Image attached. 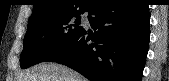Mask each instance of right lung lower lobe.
I'll return each instance as SVG.
<instances>
[{
    "mask_svg": "<svg viewBox=\"0 0 169 81\" xmlns=\"http://www.w3.org/2000/svg\"><path fill=\"white\" fill-rule=\"evenodd\" d=\"M94 30L78 36L45 61L66 65L91 81H141L149 44L150 14L141 0H96ZM91 40L93 43L88 44Z\"/></svg>",
    "mask_w": 169,
    "mask_h": 81,
    "instance_id": "98d812e1",
    "label": "right lung lower lobe"
}]
</instances>
